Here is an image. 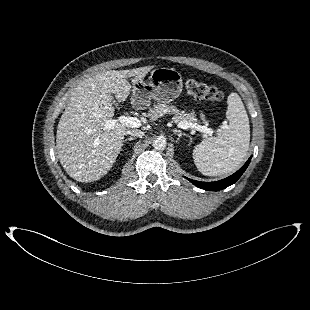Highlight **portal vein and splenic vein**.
I'll return each instance as SVG.
<instances>
[{"instance_id": "1", "label": "portal vein and splenic vein", "mask_w": 310, "mask_h": 310, "mask_svg": "<svg viewBox=\"0 0 310 310\" xmlns=\"http://www.w3.org/2000/svg\"><path fill=\"white\" fill-rule=\"evenodd\" d=\"M117 122H120L124 125L130 126L132 128H137V127L141 126V121L136 117L120 116V117H118V119H110V120L106 121L105 127L111 128ZM178 127L182 128V129H189V128L195 129L197 131H200L201 133H205L208 135L213 134V130L211 128H208L207 126H204V125H198L196 123H179Z\"/></svg>"}]
</instances>
